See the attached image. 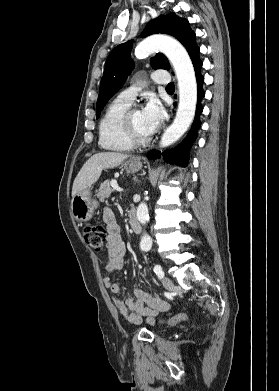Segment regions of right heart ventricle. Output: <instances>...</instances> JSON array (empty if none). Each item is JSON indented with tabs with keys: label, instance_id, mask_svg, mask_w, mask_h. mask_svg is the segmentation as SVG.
Here are the masks:
<instances>
[{
	"label": "right heart ventricle",
	"instance_id": "e07e8e85",
	"mask_svg": "<svg viewBox=\"0 0 279 391\" xmlns=\"http://www.w3.org/2000/svg\"><path fill=\"white\" fill-rule=\"evenodd\" d=\"M131 101L118 96L106 108L99 122V144L109 151H129L134 146L125 136L122 117Z\"/></svg>",
	"mask_w": 279,
	"mask_h": 391
}]
</instances>
